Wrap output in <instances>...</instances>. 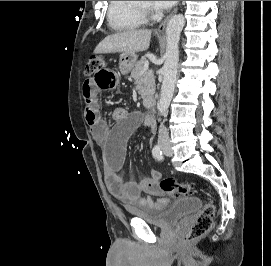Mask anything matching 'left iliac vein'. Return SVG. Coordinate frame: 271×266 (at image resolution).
Returning a JSON list of instances; mask_svg holds the SVG:
<instances>
[{"label":"left iliac vein","instance_id":"obj_1","mask_svg":"<svg viewBox=\"0 0 271 266\" xmlns=\"http://www.w3.org/2000/svg\"><path fill=\"white\" fill-rule=\"evenodd\" d=\"M163 152L166 156L169 157L173 155V150L168 143L163 146Z\"/></svg>","mask_w":271,"mask_h":266}]
</instances>
